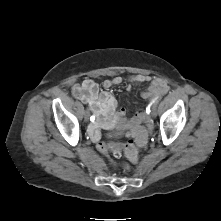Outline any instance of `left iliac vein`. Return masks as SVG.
<instances>
[{"label": "left iliac vein", "mask_w": 221, "mask_h": 221, "mask_svg": "<svg viewBox=\"0 0 221 221\" xmlns=\"http://www.w3.org/2000/svg\"><path fill=\"white\" fill-rule=\"evenodd\" d=\"M151 114H152V117H156L157 113H156V108L155 107H153Z\"/></svg>", "instance_id": "4c4485c4"}]
</instances>
